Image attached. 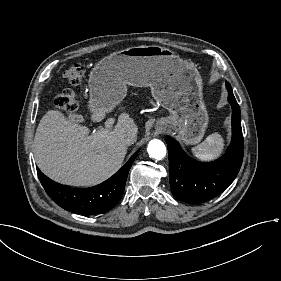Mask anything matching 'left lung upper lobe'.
<instances>
[{
    "label": "left lung upper lobe",
    "mask_w": 281,
    "mask_h": 281,
    "mask_svg": "<svg viewBox=\"0 0 281 281\" xmlns=\"http://www.w3.org/2000/svg\"><path fill=\"white\" fill-rule=\"evenodd\" d=\"M226 86H227V88H228V91H231V90H232V88H231V86H230V84H229L228 82H226Z\"/></svg>",
    "instance_id": "obj_1"
}]
</instances>
